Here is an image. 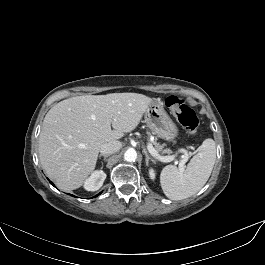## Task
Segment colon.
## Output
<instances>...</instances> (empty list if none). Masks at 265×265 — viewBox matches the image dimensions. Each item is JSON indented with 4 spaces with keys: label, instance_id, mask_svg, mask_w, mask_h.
Masks as SVG:
<instances>
[{
    "label": "colon",
    "instance_id": "1",
    "mask_svg": "<svg viewBox=\"0 0 265 265\" xmlns=\"http://www.w3.org/2000/svg\"><path fill=\"white\" fill-rule=\"evenodd\" d=\"M165 104L188 133H196L199 127L198 116L184 100L175 95H171L166 98Z\"/></svg>",
    "mask_w": 265,
    "mask_h": 265
}]
</instances>
